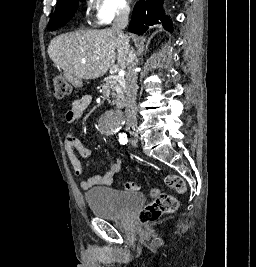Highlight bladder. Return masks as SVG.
<instances>
[{
    "label": "bladder",
    "mask_w": 256,
    "mask_h": 267,
    "mask_svg": "<svg viewBox=\"0 0 256 267\" xmlns=\"http://www.w3.org/2000/svg\"><path fill=\"white\" fill-rule=\"evenodd\" d=\"M85 197L93 216L104 219L122 218L145 202L144 195H123L121 190L112 188L93 189Z\"/></svg>",
    "instance_id": "obj_1"
}]
</instances>
